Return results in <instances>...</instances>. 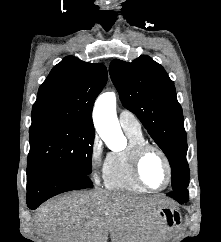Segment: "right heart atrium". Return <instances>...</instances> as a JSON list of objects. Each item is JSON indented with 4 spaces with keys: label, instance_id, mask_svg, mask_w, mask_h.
Returning a JSON list of instances; mask_svg holds the SVG:
<instances>
[{
    "label": "right heart atrium",
    "instance_id": "d8ad5b80",
    "mask_svg": "<svg viewBox=\"0 0 221 242\" xmlns=\"http://www.w3.org/2000/svg\"><path fill=\"white\" fill-rule=\"evenodd\" d=\"M89 164L95 183H99L100 173H103L106 158L103 153V145L98 135H94L89 144Z\"/></svg>",
    "mask_w": 221,
    "mask_h": 242
}]
</instances>
